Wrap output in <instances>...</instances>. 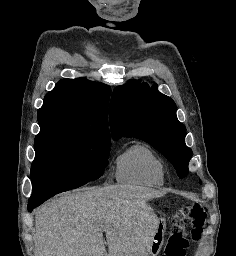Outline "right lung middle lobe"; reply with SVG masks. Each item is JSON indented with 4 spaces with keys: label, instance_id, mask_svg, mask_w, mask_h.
Segmentation results:
<instances>
[{
    "label": "right lung middle lobe",
    "instance_id": "1",
    "mask_svg": "<svg viewBox=\"0 0 236 256\" xmlns=\"http://www.w3.org/2000/svg\"><path fill=\"white\" fill-rule=\"evenodd\" d=\"M34 149L30 201L78 188L102 176L110 138L67 127L40 128Z\"/></svg>",
    "mask_w": 236,
    "mask_h": 256
}]
</instances>
